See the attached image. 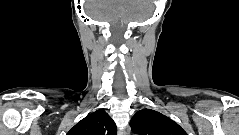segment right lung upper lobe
<instances>
[{
  "label": "right lung upper lobe",
  "mask_w": 239,
  "mask_h": 135,
  "mask_svg": "<svg viewBox=\"0 0 239 135\" xmlns=\"http://www.w3.org/2000/svg\"><path fill=\"white\" fill-rule=\"evenodd\" d=\"M115 122L104 110H97L79 121L67 135H116Z\"/></svg>",
  "instance_id": "cb5924a9"
}]
</instances>
